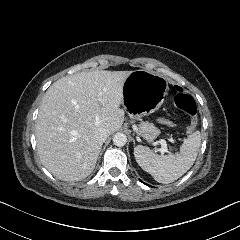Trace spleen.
Wrapping results in <instances>:
<instances>
[{
  "label": "spleen",
  "instance_id": "1",
  "mask_svg": "<svg viewBox=\"0 0 240 240\" xmlns=\"http://www.w3.org/2000/svg\"><path fill=\"white\" fill-rule=\"evenodd\" d=\"M201 145L200 132L189 135L176 155H158L149 147L138 145L134 156L138 165L153 178L163 184H169L185 174L194 164Z\"/></svg>",
  "mask_w": 240,
  "mask_h": 240
}]
</instances>
